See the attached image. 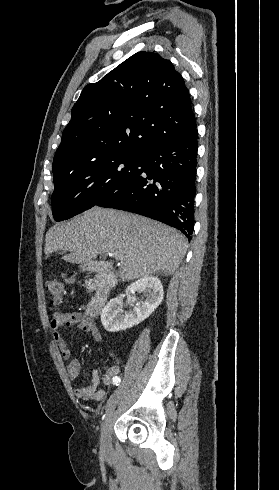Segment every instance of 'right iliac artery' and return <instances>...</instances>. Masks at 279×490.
I'll return each mask as SVG.
<instances>
[{"label": "right iliac artery", "instance_id": "1", "mask_svg": "<svg viewBox=\"0 0 279 490\" xmlns=\"http://www.w3.org/2000/svg\"><path fill=\"white\" fill-rule=\"evenodd\" d=\"M113 380H114V382H115V384H114L115 386L120 384V381H119L120 379H119V377H117V376H116V377H114V379H113Z\"/></svg>", "mask_w": 279, "mask_h": 490}]
</instances>
